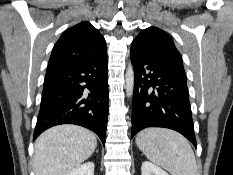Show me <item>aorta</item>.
<instances>
[{
  "label": "aorta",
  "mask_w": 233,
  "mask_h": 175,
  "mask_svg": "<svg viewBox=\"0 0 233 175\" xmlns=\"http://www.w3.org/2000/svg\"><path fill=\"white\" fill-rule=\"evenodd\" d=\"M125 79H126V93L127 96L130 97L132 96L134 89V70L131 63H129L128 68L126 70Z\"/></svg>",
  "instance_id": "1"
}]
</instances>
